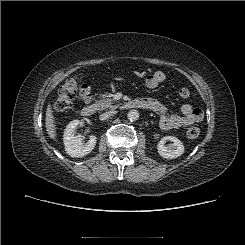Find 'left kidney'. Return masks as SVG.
<instances>
[{"mask_svg":"<svg viewBox=\"0 0 245 245\" xmlns=\"http://www.w3.org/2000/svg\"><path fill=\"white\" fill-rule=\"evenodd\" d=\"M167 140L173 143L169 144L166 147L165 142ZM157 150L161 157L166 159H174L181 156L184 153V145L178 138L173 136H166L159 141L157 145Z\"/></svg>","mask_w":245,"mask_h":245,"instance_id":"left-kidney-1","label":"left kidney"}]
</instances>
